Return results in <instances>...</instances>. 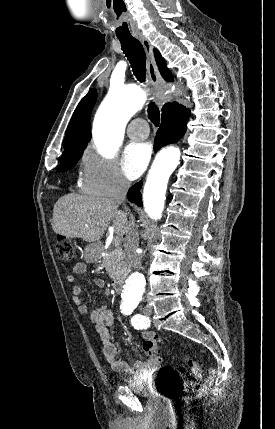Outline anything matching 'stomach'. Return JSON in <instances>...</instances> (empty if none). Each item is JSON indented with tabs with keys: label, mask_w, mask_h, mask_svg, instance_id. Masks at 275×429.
<instances>
[{
	"label": "stomach",
	"mask_w": 275,
	"mask_h": 429,
	"mask_svg": "<svg viewBox=\"0 0 275 429\" xmlns=\"http://www.w3.org/2000/svg\"><path fill=\"white\" fill-rule=\"evenodd\" d=\"M101 250L98 243H90L84 248V258L89 263H94L100 258Z\"/></svg>",
	"instance_id": "stomach-1"
}]
</instances>
